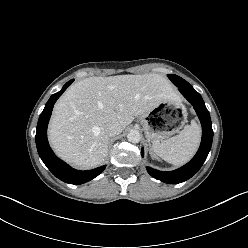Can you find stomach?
<instances>
[{
  "instance_id": "stomach-1",
  "label": "stomach",
  "mask_w": 248,
  "mask_h": 248,
  "mask_svg": "<svg viewBox=\"0 0 248 248\" xmlns=\"http://www.w3.org/2000/svg\"><path fill=\"white\" fill-rule=\"evenodd\" d=\"M187 112L182 103L164 100L147 114L141 116V123L148 142L154 144L166 140L186 122ZM178 127H174L180 122Z\"/></svg>"
}]
</instances>
